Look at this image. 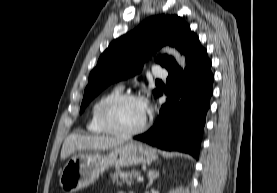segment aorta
Masks as SVG:
<instances>
[{"label":"aorta","mask_w":277,"mask_h":193,"mask_svg":"<svg viewBox=\"0 0 277 193\" xmlns=\"http://www.w3.org/2000/svg\"><path fill=\"white\" fill-rule=\"evenodd\" d=\"M162 51L172 55L181 67H185V58L176 49L165 47Z\"/></svg>","instance_id":"aorta-1"}]
</instances>
